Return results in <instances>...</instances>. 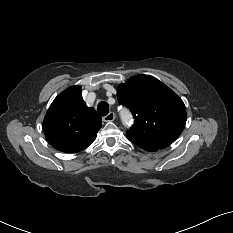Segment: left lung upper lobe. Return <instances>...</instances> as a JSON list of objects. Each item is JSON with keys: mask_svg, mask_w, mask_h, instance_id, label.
I'll use <instances>...</instances> for the list:
<instances>
[{"mask_svg": "<svg viewBox=\"0 0 233 233\" xmlns=\"http://www.w3.org/2000/svg\"><path fill=\"white\" fill-rule=\"evenodd\" d=\"M120 104L132 112L135 123L126 136L147 151L163 149L182 133L186 123L183 101L155 77L136 75L117 88Z\"/></svg>", "mask_w": 233, "mask_h": 233, "instance_id": "1", "label": "left lung upper lobe"}]
</instances>
